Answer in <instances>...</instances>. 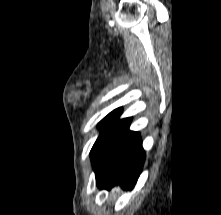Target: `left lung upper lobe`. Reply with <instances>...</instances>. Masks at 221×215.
I'll list each match as a JSON object with an SVG mask.
<instances>
[{
	"label": "left lung upper lobe",
	"mask_w": 221,
	"mask_h": 215,
	"mask_svg": "<svg viewBox=\"0 0 221 215\" xmlns=\"http://www.w3.org/2000/svg\"><path fill=\"white\" fill-rule=\"evenodd\" d=\"M121 111H122L121 108H117V109L113 110L98 124V127L100 129V134H99V136H98L96 142L94 143V145L91 149V152H90L92 164L94 163V161H95V159H96V157H97V155H98V153L104 143V139H105L109 129L111 128L113 123L117 120Z\"/></svg>",
	"instance_id": "1"
}]
</instances>
